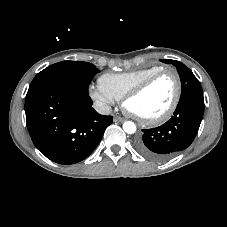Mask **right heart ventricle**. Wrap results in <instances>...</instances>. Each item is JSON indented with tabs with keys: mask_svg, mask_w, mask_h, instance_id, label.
Here are the masks:
<instances>
[{
	"mask_svg": "<svg viewBox=\"0 0 227 227\" xmlns=\"http://www.w3.org/2000/svg\"><path fill=\"white\" fill-rule=\"evenodd\" d=\"M161 69L162 66H150L123 73H106L99 78V85L115 99H121L127 91Z\"/></svg>",
	"mask_w": 227,
	"mask_h": 227,
	"instance_id": "e07e8e85",
	"label": "right heart ventricle"
}]
</instances>
